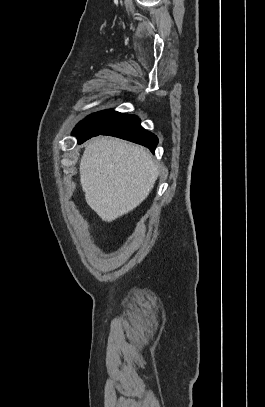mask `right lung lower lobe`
<instances>
[{
    "instance_id": "1",
    "label": "right lung lower lobe",
    "mask_w": 265,
    "mask_h": 407,
    "mask_svg": "<svg viewBox=\"0 0 265 407\" xmlns=\"http://www.w3.org/2000/svg\"><path fill=\"white\" fill-rule=\"evenodd\" d=\"M102 135L119 137L134 143L148 147L154 152L158 138L151 132L143 129L140 125V119L135 115H128L126 118L101 132ZM99 135V134H98ZM97 136V135H94ZM93 137V136H92ZM91 137H78L79 143H82Z\"/></svg>"
}]
</instances>
